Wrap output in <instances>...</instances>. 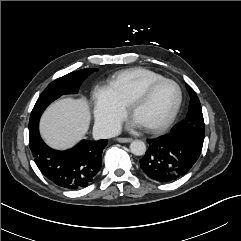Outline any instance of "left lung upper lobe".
Masks as SVG:
<instances>
[{
  "mask_svg": "<svg viewBox=\"0 0 241 241\" xmlns=\"http://www.w3.org/2000/svg\"><path fill=\"white\" fill-rule=\"evenodd\" d=\"M186 88L191 98L189 112L186 119L175 127L171 134L183 136L195 148L202 150L205 136V125L200 101L195 91L188 84H186Z\"/></svg>",
  "mask_w": 241,
  "mask_h": 241,
  "instance_id": "1",
  "label": "left lung upper lobe"
}]
</instances>
